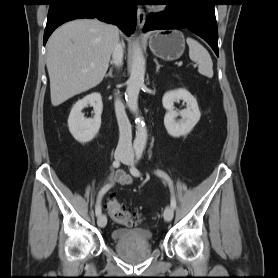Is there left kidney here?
<instances>
[{
	"instance_id": "obj_1",
	"label": "left kidney",
	"mask_w": 278,
	"mask_h": 278,
	"mask_svg": "<svg viewBox=\"0 0 278 278\" xmlns=\"http://www.w3.org/2000/svg\"><path fill=\"white\" fill-rule=\"evenodd\" d=\"M183 100L186 102V109L177 112L174 110V102ZM163 107L167 110L164 116V125L168 134L172 137L185 136L191 132L198 123L201 113L197 100L186 89L168 91L162 98ZM181 119L176 121V117Z\"/></svg>"
}]
</instances>
